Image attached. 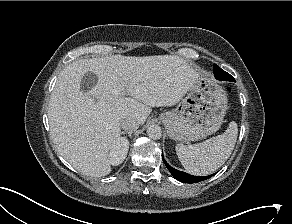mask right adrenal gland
<instances>
[{"label": "right adrenal gland", "mask_w": 292, "mask_h": 224, "mask_svg": "<svg viewBox=\"0 0 292 224\" xmlns=\"http://www.w3.org/2000/svg\"><path fill=\"white\" fill-rule=\"evenodd\" d=\"M121 134L122 135H125V134L127 135L128 134L130 138L132 137V132L122 131Z\"/></svg>", "instance_id": "obj_1"}]
</instances>
